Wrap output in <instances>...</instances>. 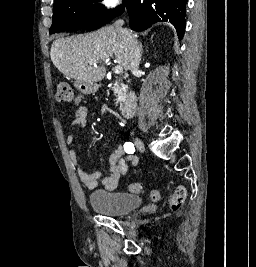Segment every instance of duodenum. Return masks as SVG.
<instances>
[{"mask_svg": "<svg viewBox=\"0 0 256 267\" xmlns=\"http://www.w3.org/2000/svg\"><path fill=\"white\" fill-rule=\"evenodd\" d=\"M116 83L122 84V81L116 80ZM74 88L80 90V94H96V90L108 89V84H103L97 78H77ZM136 100V94L127 90L120 106V115L123 118H131L134 115Z\"/></svg>", "mask_w": 256, "mask_h": 267, "instance_id": "410a0bca", "label": "duodenum"}]
</instances>
